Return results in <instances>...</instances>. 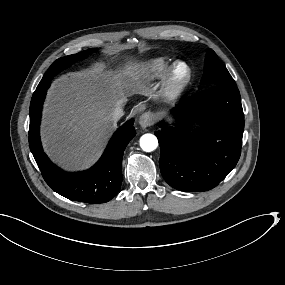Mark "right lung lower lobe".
<instances>
[{
	"instance_id": "right-lung-lower-lobe-1",
	"label": "right lung lower lobe",
	"mask_w": 285,
	"mask_h": 285,
	"mask_svg": "<svg viewBox=\"0 0 285 285\" xmlns=\"http://www.w3.org/2000/svg\"><path fill=\"white\" fill-rule=\"evenodd\" d=\"M50 84L38 85L30 104L29 145L46 183L58 194L74 201L98 204L117 195L122 183V157L136 135L134 119L115 132L100 160L89 170L68 173L54 165L43 152L39 126L42 105Z\"/></svg>"
}]
</instances>
